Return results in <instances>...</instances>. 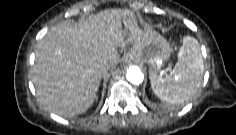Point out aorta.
I'll return each mask as SVG.
<instances>
[{
    "instance_id": "aorta-1",
    "label": "aorta",
    "mask_w": 236,
    "mask_h": 135,
    "mask_svg": "<svg viewBox=\"0 0 236 135\" xmlns=\"http://www.w3.org/2000/svg\"><path fill=\"white\" fill-rule=\"evenodd\" d=\"M126 78L132 84H141L144 80V74L138 66H131L127 69Z\"/></svg>"
}]
</instances>
